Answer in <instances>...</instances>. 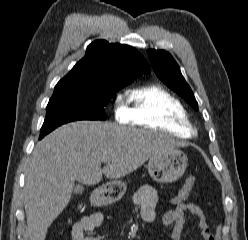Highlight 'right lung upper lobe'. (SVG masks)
<instances>
[{
	"label": "right lung upper lobe",
	"mask_w": 248,
	"mask_h": 240,
	"mask_svg": "<svg viewBox=\"0 0 248 240\" xmlns=\"http://www.w3.org/2000/svg\"><path fill=\"white\" fill-rule=\"evenodd\" d=\"M148 72L149 64L136 49L100 39L87 47L85 57L57 83L55 90L124 87Z\"/></svg>",
	"instance_id": "right-lung-upper-lobe-1"
}]
</instances>
